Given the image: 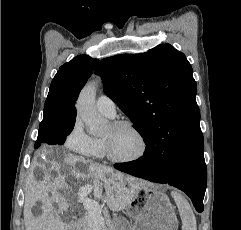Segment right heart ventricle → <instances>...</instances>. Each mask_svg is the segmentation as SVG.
Listing matches in <instances>:
<instances>
[{"mask_svg":"<svg viewBox=\"0 0 241 230\" xmlns=\"http://www.w3.org/2000/svg\"><path fill=\"white\" fill-rule=\"evenodd\" d=\"M94 140H95V149L91 157L103 158L105 156L103 140L97 139V138H94Z\"/></svg>","mask_w":241,"mask_h":230,"instance_id":"1","label":"right heart ventricle"}]
</instances>
